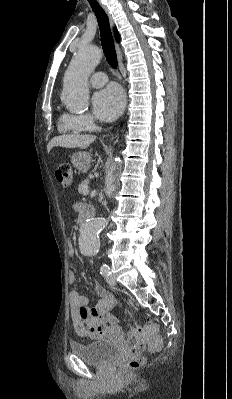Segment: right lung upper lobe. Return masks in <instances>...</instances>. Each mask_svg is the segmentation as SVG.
Instances as JSON below:
<instances>
[{
    "mask_svg": "<svg viewBox=\"0 0 232 399\" xmlns=\"http://www.w3.org/2000/svg\"><path fill=\"white\" fill-rule=\"evenodd\" d=\"M114 33H115V37H116L117 42H119V40H120L119 33H118V31L115 28H114Z\"/></svg>",
    "mask_w": 232,
    "mask_h": 399,
    "instance_id": "cb5924a9",
    "label": "right lung upper lobe"
}]
</instances>
